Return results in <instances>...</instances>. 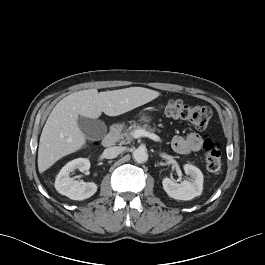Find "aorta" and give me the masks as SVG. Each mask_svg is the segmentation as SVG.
<instances>
[{
	"label": "aorta",
	"mask_w": 265,
	"mask_h": 265,
	"mask_svg": "<svg viewBox=\"0 0 265 265\" xmlns=\"http://www.w3.org/2000/svg\"><path fill=\"white\" fill-rule=\"evenodd\" d=\"M133 159L137 163H145L148 160V153L144 148H137L133 151Z\"/></svg>",
	"instance_id": "762f6f07"
}]
</instances>
